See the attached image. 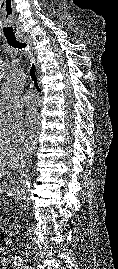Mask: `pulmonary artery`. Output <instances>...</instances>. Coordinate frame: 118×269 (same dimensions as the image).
Returning a JSON list of instances; mask_svg holds the SVG:
<instances>
[{"label":"pulmonary artery","mask_w":118,"mask_h":269,"mask_svg":"<svg viewBox=\"0 0 118 269\" xmlns=\"http://www.w3.org/2000/svg\"><path fill=\"white\" fill-rule=\"evenodd\" d=\"M39 102V98L32 91H28L24 97V103L27 106L36 105Z\"/></svg>","instance_id":"obj_1"}]
</instances>
